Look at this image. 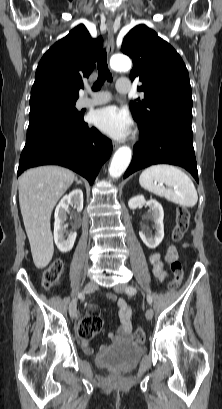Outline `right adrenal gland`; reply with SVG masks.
Returning <instances> with one entry per match:
<instances>
[{"instance_id":"1","label":"right adrenal gland","mask_w":222,"mask_h":409,"mask_svg":"<svg viewBox=\"0 0 222 409\" xmlns=\"http://www.w3.org/2000/svg\"><path fill=\"white\" fill-rule=\"evenodd\" d=\"M76 184H82L81 181H79L77 178L75 179Z\"/></svg>"}]
</instances>
